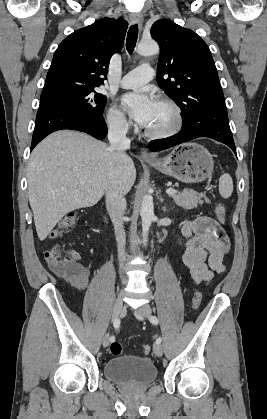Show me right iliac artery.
Instances as JSON below:
<instances>
[{
    "label": "right iliac artery",
    "instance_id": "obj_1",
    "mask_svg": "<svg viewBox=\"0 0 267 419\" xmlns=\"http://www.w3.org/2000/svg\"><path fill=\"white\" fill-rule=\"evenodd\" d=\"M113 326H114L115 329H118L119 328V326H120V320L118 318L114 320ZM113 340H115V337L114 336H111L110 337V341H113Z\"/></svg>",
    "mask_w": 267,
    "mask_h": 419
}]
</instances>
